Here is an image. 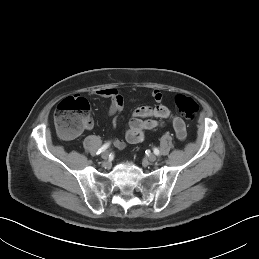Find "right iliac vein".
Masks as SVG:
<instances>
[{
  "mask_svg": "<svg viewBox=\"0 0 259 259\" xmlns=\"http://www.w3.org/2000/svg\"><path fill=\"white\" fill-rule=\"evenodd\" d=\"M108 156H109V152H108V151H104V152L101 154V157H102L104 160L108 159ZM105 165H106V166H109L110 163H109V162H106Z\"/></svg>",
  "mask_w": 259,
  "mask_h": 259,
  "instance_id": "1",
  "label": "right iliac vein"
}]
</instances>
